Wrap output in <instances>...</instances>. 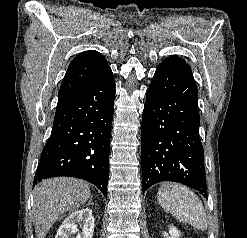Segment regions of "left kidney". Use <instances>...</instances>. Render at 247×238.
Masks as SVG:
<instances>
[{"label": "left kidney", "instance_id": "obj_1", "mask_svg": "<svg viewBox=\"0 0 247 238\" xmlns=\"http://www.w3.org/2000/svg\"><path fill=\"white\" fill-rule=\"evenodd\" d=\"M169 234L170 236H168L167 232H164V237L165 238H179L180 237V231L174 226L169 227Z\"/></svg>", "mask_w": 247, "mask_h": 238}]
</instances>
